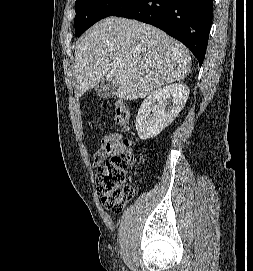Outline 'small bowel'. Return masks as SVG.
Here are the masks:
<instances>
[{"label":"small bowel","instance_id":"c3829d8e","mask_svg":"<svg viewBox=\"0 0 253 271\" xmlns=\"http://www.w3.org/2000/svg\"><path fill=\"white\" fill-rule=\"evenodd\" d=\"M121 139L122 135L116 132L104 135L100 140L99 149L94 154V166H98L108 155L125 151L126 148L121 143Z\"/></svg>","mask_w":253,"mask_h":271}]
</instances>
